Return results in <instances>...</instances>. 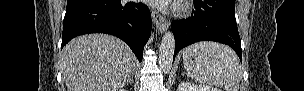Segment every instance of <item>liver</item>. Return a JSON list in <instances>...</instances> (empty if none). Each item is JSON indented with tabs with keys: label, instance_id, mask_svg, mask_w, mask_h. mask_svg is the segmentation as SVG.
I'll use <instances>...</instances> for the list:
<instances>
[{
	"label": "liver",
	"instance_id": "obj_1",
	"mask_svg": "<svg viewBox=\"0 0 304 91\" xmlns=\"http://www.w3.org/2000/svg\"><path fill=\"white\" fill-rule=\"evenodd\" d=\"M135 63L130 48L108 34L74 38L61 53L68 91H119L133 76Z\"/></svg>",
	"mask_w": 304,
	"mask_h": 91
}]
</instances>
